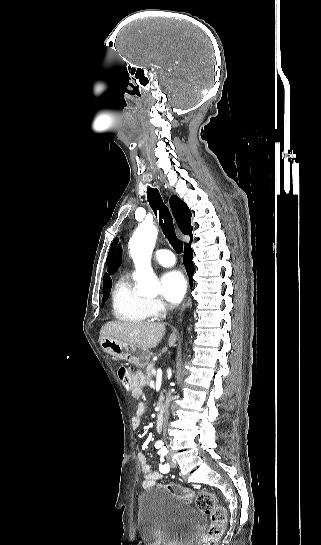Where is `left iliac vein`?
Listing matches in <instances>:
<instances>
[{
  "instance_id": "left-iliac-vein-1",
  "label": "left iliac vein",
  "mask_w": 321,
  "mask_h": 545,
  "mask_svg": "<svg viewBox=\"0 0 321 545\" xmlns=\"http://www.w3.org/2000/svg\"><path fill=\"white\" fill-rule=\"evenodd\" d=\"M167 461H168V463H169V465H170L171 467H175V466H176V463H175V461L172 459V456H171L170 453H168V455H167Z\"/></svg>"
}]
</instances>
